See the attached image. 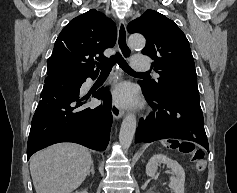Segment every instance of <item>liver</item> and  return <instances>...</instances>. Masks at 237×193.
I'll list each match as a JSON object with an SVG mask.
<instances>
[{
  "label": "liver",
  "mask_w": 237,
  "mask_h": 193,
  "mask_svg": "<svg viewBox=\"0 0 237 193\" xmlns=\"http://www.w3.org/2000/svg\"><path fill=\"white\" fill-rule=\"evenodd\" d=\"M91 153L74 143H58L35 153L30 172L36 193H71L90 171Z\"/></svg>",
  "instance_id": "obj_1"
}]
</instances>
